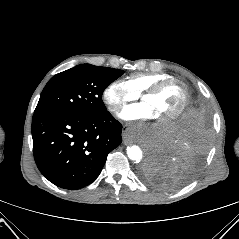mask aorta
Returning <instances> with one entry per match:
<instances>
[{
    "label": "aorta",
    "instance_id": "1",
    "mask_svg": "<svg viewBox=\"0 0 239 239\" xmlns=\"http://www.w3.org/2000/svg\"><path fill=\"white\" fill-rule=\"evenodd\" d=\"M128 158L132 161L140 162L143 158V152L137 145L127 147Z\"/></svg>",
    "mask_w": 239,
    "mask_h": 239
}]
</instances>
